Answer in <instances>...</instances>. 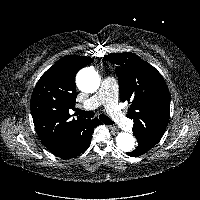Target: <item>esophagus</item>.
Returning <instances> with one entry per match:
<instances>
[{
    "mask_svg": "<svg viewBox=\"0 0 200 200\" xmlns=\"http://www.w3.org/2000/svg\"><path fill=\"white\" fill-rule=\"evenodd\" d=\"M109 129L111 130V132L116 133L118 131L117 127L114 126H109Z\"/></svg>",
    "mask_w": 200,
    "mask_h": 200,
    "instance_id": "obj_1",
    "label": "esophagus"
}]
</instances>
